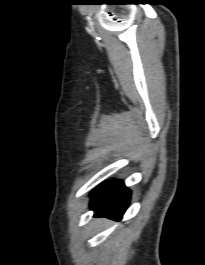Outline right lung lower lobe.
Masks as SVG:
<instances>
[{
  "mask_svg": "<svg viewBox=\"0 0 205 265\" xmlns=\"http://www.w3.org/2000/svg\"><path fill=\"white\" fill-rule=\"evenodd\" d=\"M131 192L122 181L110 180L91 193L90 207L94 216L120 220L128 206Z\"/></svg>",
  "mask_w": 205,
  "mask_h": 265,
  "instance_id": "right-lung-lower-lobe-1",
  "label": "right lung lower lobe"
}]
</instances>
